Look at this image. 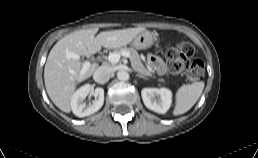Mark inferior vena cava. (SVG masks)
<instances>
[{
  "label": "inferior vena cava",
  "mask_w": 258,
  "mask_h": 158,
  "mask_svg": "<svg viewBox=\"0 0 258 158\" xmlns=\"http://www.w3.org/2000/svg\"><path fill=\"white\" fill-rule=\"evenodd\" d=\"M111 75L112 71L109 67L100 66L94 72L93 79L99 84H104L110 79Z\"/></svg>",
  "instance_id": "obj_1"
}]
</instances>
